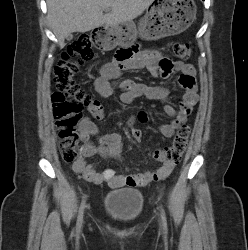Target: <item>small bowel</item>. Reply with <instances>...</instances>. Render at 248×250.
<instances>
[{"mask_svg": "<svg viewBox=\"0 0 248 250\" xmlns=\"http://www.w3.org/2000/svg\"><path fill=\"white\" fill-rule=\"evenodd\" d=\"M141 68L147 69L151 74L161 79H168L173 70L180 72L178 82L184 90L183 98L177 109L168 104L164 105V111L171 117V121L160 127L162 136L171 138L185 120L186 110L197 102L198 95L193 65L171 61L156 48L140 49L134 46L130 48L129 57L125 61L107 63L101 68L95 79V89L100 96L108 98L118 88L122 91L120 99L123 103H130L136 98L165 102L169 95V90L166 87L137 83L130 79H119L121 71ZM89 110L95 120L102 121L105 118L104 110L99 103L90 107ZM135 120L145 123L148 120V115L144 111L139 112L136 117L132 116L128 120V126H132ZM78 132L82 147L78 161L73 164V170L88 182L94 184L106 182L112 188L144 186L151 181L165 179L173 170V164L165 159L163 150L157 149L152 153V158L160 162L161 165L154 171L146 170L127 175H117L113 169L98 171L85 159L99 154L121 160L120 134L111 132L101 135L97 125L88 117L81 119ZM92 137H97V144L92 141Z\"/></svg>", "mask_w": 248, "mask_h": 250, "instance_id": "obj_1", "label": "small bowel"}]
</instances>
